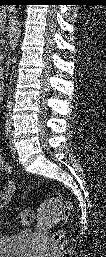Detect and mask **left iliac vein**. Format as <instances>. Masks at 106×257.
<instances>
[{
    "label": "left iliac vein",
    "mask_w": 106,
    "mask_h": 257,
    "mask_svg": "<svg viewBox=\"0 0 106 257\" xmlns=\"http://www.w3.org/2000/svg\"><path fill=\"white\" fill-rule=\"evenodd\" d=\"M9 140H10V141H9V146H10V148H11V151H12L13 153H15V152H16V148H15V146H14L12 134L10 135V139H9Z\"/></svg>",
    "instance_id": "4c4485c4"
}]
</instances>
